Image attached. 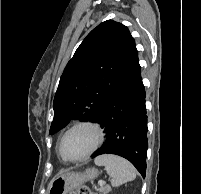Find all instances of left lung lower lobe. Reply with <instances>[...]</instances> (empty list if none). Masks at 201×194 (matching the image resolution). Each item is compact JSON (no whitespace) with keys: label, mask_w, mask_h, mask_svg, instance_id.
Here are the masks:
<instances>
[{"label":"left lung lower lobe","mask_w":201,"mask_h":194,"mask_svg":"<svg viewBox=\"0 0 201 194\" xmlns=\"http://www.w3.org/2000/svg\"><path fill=\"white\" fill-rule=\"evenodd\" d=\"M145 90L138 57L95 121L106 133V141L92 157L116 154L129 160L143 177L146 174L147 115Z\"/></svg>","instance_id":"left-lung-lower-lobe-1"}]
</instances>
